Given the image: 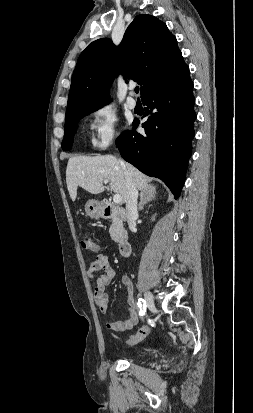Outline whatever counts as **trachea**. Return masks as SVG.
I'll list each match as a JSON object with an SVG mask.
<instances>
[{"label":"trachea","mask_w":253,"mask_h":413,"mask_svg":"<svg viewBox=\"0 0 253 413\" xmlns=\"http://www.w3.org/2000/svg\"><path fill=\"white\" fill-rule=\"evenodd\" d=\"M135 92L138 94V92H139V87H136V88H135Z\"/></svg>","instance_id":"trachea-1"}]
</instances>
